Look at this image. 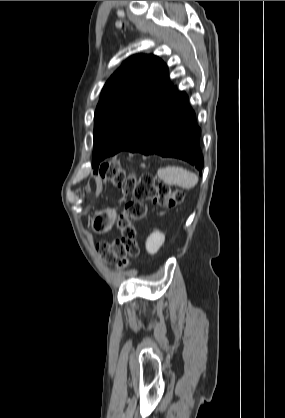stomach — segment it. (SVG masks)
Here are the masks:
<instances>
[{
  "mask_svg": "<svg viewBox=\"0 0 285 418\" xmlns=\"http://www.w3.org/2000/svg\"><path fill=\"white\" fill-rule=\"evenodd\" d=\"M104 213H106V216H103ZM115 215V210L113 209L99 212L97 217L92 221L93 229L97 232L108 231L114 223ZM99 216H102V220L99 219Z\"/></svg>",
  "mask_w": 285,
  "mask_h": 418,
  "instance_id": "stomach-1",
  "label": "stomach"
}]
</instances>
